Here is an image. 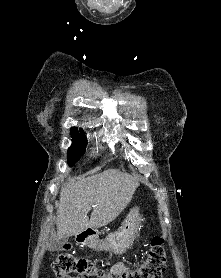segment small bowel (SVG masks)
<instances>
[{"label": "small bowel", "instance_id": "obj_1", "mask_svg": "<svg viewBox=\"0 0 221 278\" xmlns=\"http://www.w3.org/2000/svg\"><path fill=\"white\" fill-rule=\"evenodd\" d=\"M128 267L123 262L116 263L112 268L110 269L109 273L116 278H120V275L124 272H126Z\"/></svg>", "mask_w": 221, "mask_h": 278}]
</instances>
